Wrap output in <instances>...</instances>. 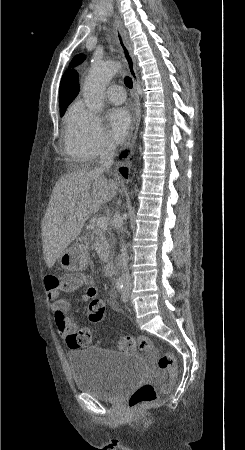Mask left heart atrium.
<instances>
[{
    "label": "left heart atrium",
    "mask_w": 245,
    "mask_h": 450,
    "mask_svg": "<svg viewBox=\"0 0 245 450\" xmlns=\"http://www.w3.org/2000/svg\"><path fill=\"white\" fill-rule=\"evenodd\" d=\"M109 133L115 143H122L131 127V114L125 107H115L107 114Z\"/></svg>",
    "instance_id": "39dd6f15"
}]
</instances>
